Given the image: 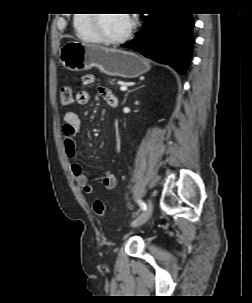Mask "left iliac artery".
Wrapping results in <instances>:
<instances>
[{
  "label": "left iliac artery",
  "mask_w": 252,
  "mask_h": 303,
  "mask_svg": "<svg viewBox=\"0 0 252 303\" xmlns=\"http://www.w3.org/2000/svg\"><path fill=\"white\" fill-rule=\"evenodd\" d=\"M138 204H139V206H140V208H141L142 210H145V209H146V203L143 202L142 200H138Z\"/></svg>",
  "instance_id": "obj_1"
}]
</instances>
